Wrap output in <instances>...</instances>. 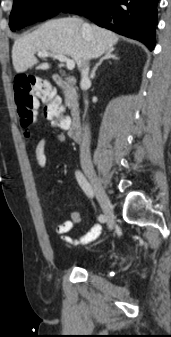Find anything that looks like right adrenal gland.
Listing matches in <instances>:
<instances>
[{"mask_svg":"<svg viewBox=\"0 0 171 337\" xmlns=\"http://www.w3.org/2000/svg\"><path fill=\"white\" fill-rule=\"evenodd\" d=\"M113 51H114V49L108 50V51L105 53L104 57H102V58L100 59V61L95 65V67L93 68V70H92V72H91V75H90L91 79H94V78H95L96 70L98 69V67L102 64V62H103L105 59H115V60L119 59L116 55L113 54Z\"/></svg>","mask_w":171,"mask_h":337,"instance_id":"1","label":"right adrenal gland"}]
</instances>
